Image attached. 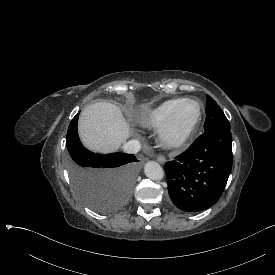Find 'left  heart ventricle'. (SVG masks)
<instances>
[{
    "mask_svg": "<svg viewBox=\"0 0 275 275\" xmlns=\"http://www.w3.org/2000/svg\"><path fill=\"white\" fill-rule=\"evenodd\" d=\"M196 115V106L191 103H186L177 109L175 121L179 128H186Z\"/></svg>",
    "mask_w": 275,
    "mask_h": 275,
    "instance_id": "1",
    "label": "left heart ventricle"
}]
</instances>
